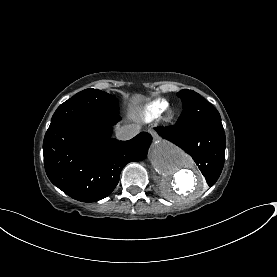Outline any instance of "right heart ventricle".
Here are the masks:
<instances>
[{"label": "right heart ventricle", "instance_id": "obj_1", "mask_svg": "<svg viewBox=\"0 0 277 277\" xmlns=\"http://www.w3.org/2000/svg\"><path fill=\"white\" fill-rule=\"evenodd\" d=\"M168 106V102L164 99H159L148 105L141 113V120L143 122H150L159 116L164 109Z\"/></svg>", "mask_w": 277, "mask_h": 277}]
</instances>
